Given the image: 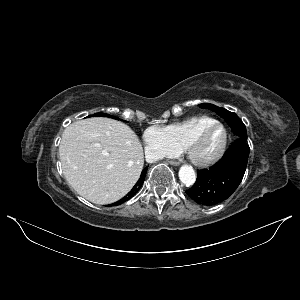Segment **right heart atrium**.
I'll use <instances>...</instances> for the list:
<instances>
[{"label":"right heart atrium","instance_id":"1","mask_svg":"<svg viewBox=\"0 0 300 300\" xmlns=\"http://www.w3.org/2000/svg\"><path fill=\"white\" fill-rule=\"evenodd\" d=\"M143 140L146 155L152 161L172 157L178 153L161 127L151 126L147 128L143 133Z\"/></svg>","mask_w":300,"mask_h":300}]
</instances>
